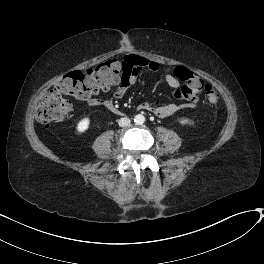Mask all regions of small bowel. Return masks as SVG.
Wrapping results in <instances>:
<instances>
[{
	"label": "small bowel",
	"instance_id": "small-bowel-1",
	"mask_svg": "<svg viewBox=\"0 0 264 264\" xmlns=\"http://www.w3.org/2000/svg\"><path fill=\"white\" fill-rule=\"evenodd\" d=\"M130 60L126 67L121 72L119 83L114 90V97L117 99L122 98L129 89L136 83L138 76L142 70L150 72H161L166 84L172 88H178L181 81L174 74V71L169 67H162L158 62L137 56H129ZM91 106H98L102 104L103 100L93 96L83 98ZM196 104L195 99H190L188 107H193ZM139 110L149 111L154 113L160 118H166L173 115L177 107L173 103L163 105H152L149 102H141L138 105Z\"/></svg>",
	"mask_w": 264,
	"mask_h": 264
}]
</instances>
